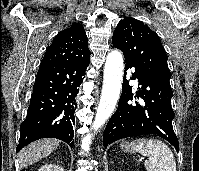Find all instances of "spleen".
Wrapping results in <instances>:
<instances>
[{
    "label": "spleen",
    "mask_w": 199,
    "mask_h": 171,
    "mask_svg": "<svg viewBox=\"0 0 199 171\" xmlns=\"http://www.w3.org/2000/svg\"><path fill=\"white\" fill-rule=\"evenodd\" d=\"M131 147L148 157L147 171H176V162L171 149L161 140L140 138L131 142Z\"/></svg>",
    "instance_id": "3e777b00"
}]
</instances>
